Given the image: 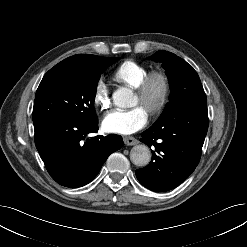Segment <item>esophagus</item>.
I'll list each match as a JSON object with an SVG mask.
<instances>
[{
  "label": "esophagus",
  "mask_w": 247,
  "mask_h": 247,
  "mask_svg": "<svg viewBox=\"0 0 247 247\" xmlns=\"http://www.w3.org/2000/svg\"><path fill=\"white\" fill-rule=\"evenodd\" d=\"M123 140L124 143L128 146L136 145L138 143V140L132 136H125Z\"/></svg>",
  "instance_id": "34e87169"
}]
</instances>
